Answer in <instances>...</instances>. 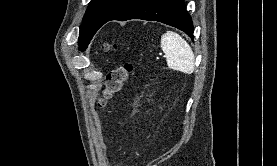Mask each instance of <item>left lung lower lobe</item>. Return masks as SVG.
<instances>
[{
	"label": "left lung lower lobe",
	"mask_w": 277,
	"mask_h": 166,
	"mask_svg": "<svg viewBox=\"0 0 277 166\" xmlns=\"http://www.w3.org/2000/svg\"><path fill=\"white\" fill-rule=\"evenodd\" d=\"M130 19L159 21L193 38V22L185 9L184 0H134L108 21Z\"/></svg>",
	"instance_id": "left-lung-lower-lobe-1"
}]
</instances>
